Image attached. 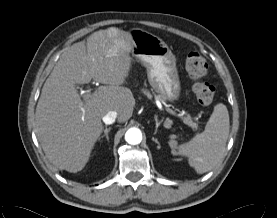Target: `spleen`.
Listing matches in <instances>:
<instances>
[{"label":"spleen","instance_id":"1","mask_svg":"<svg viewBox=\"0 0 277 218\" xmlns=\"http://www.w3.org/2000/svg\"><path fill=\"white\" fill-rule=\"evenodd\" d=\"M230 122L227 107L220 103L214 107L205 130L188 143L176 147L177 154L188 157L190 166L202 174L211 170L225 152Z\"/></svg>","mask_w":277,"mask_h":218}]
</instances>
